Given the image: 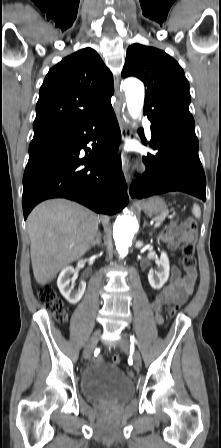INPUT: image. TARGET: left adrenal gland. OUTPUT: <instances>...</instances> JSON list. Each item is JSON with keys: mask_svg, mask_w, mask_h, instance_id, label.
<instances>
[{"mask_svg": "<svg viewBox=\"0 0 221 448\" xmlns=\"http://www.w3.org/2000/svg\"><path fill=\"white\" fill-rule=\"evenodd\" d=\"M146 225H147V222L145 221V222H144V226H146Z\"/></svg>", "mask_w": 221, "mask_h": 448, "instance_id": "1", "label": "left adrenal gland"}]
</instances>
